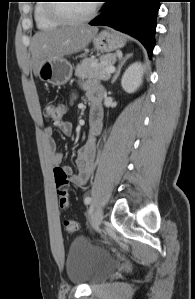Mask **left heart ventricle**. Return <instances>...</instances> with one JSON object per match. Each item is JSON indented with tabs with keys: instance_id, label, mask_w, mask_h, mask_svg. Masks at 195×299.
I'll return each instance as SVG.
<instances>
[{
	"instance_id": "1",
	"label": "left heart ventricle",
	"mask_w": 195,
	"mask_h": 299,
	"mask_svg": "<svg viewBox=\"0 0 195 299\" xmlns=\"http://www.w3.org/2000/svg\"><path fill=\"white\" fill-rule=\"evenodd\" d=\"M92 4V1L68 2L63 4L61 11L71 17H83L90 12Z\"/></svg>"
}]
</instances>
